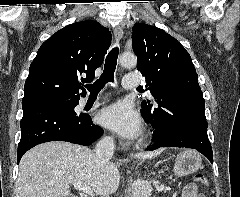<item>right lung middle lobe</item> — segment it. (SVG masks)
<instances>
[{"instance_id": "obj_1", "label": "right lung middle lobe", "mask_w": 240, "mask_h": 197, "mask_svg": "<svg viewBox=\"0 0 240 197\" xmlns=\"http://www.w3.org/2000/svg\"><path fill=\"white\" fill-rule=\"evenodd\" d=\"M61 106H63L65 109H67L69 111V114L71 115H76V113L74 112V107L75 104L74 102H60Z\"/></svg>"}]
</instances>
